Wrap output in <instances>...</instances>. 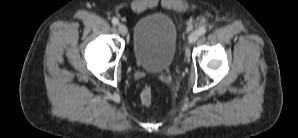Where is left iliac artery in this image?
Returning <instances> with one entry per match:
<instances>
[{
    "mask_svg": "<svg viewBox=\"0 0 298 138\" xmlns=\"http://www.w3.org/2000/svg\"><path fill=\"white\" fill-rule=\"evenodd\" d=\"M198 32H199V35H204L206 33V27H204V26L200 27Z\"/></svg>",
    "mask_w": 298,
    "mask_h": 138,
    "instance_id": "left-iliac-artery-1",
    "label": "left iliac artery"
}]
</instances>
